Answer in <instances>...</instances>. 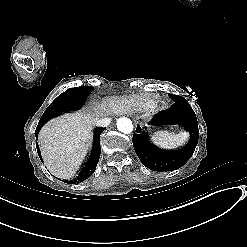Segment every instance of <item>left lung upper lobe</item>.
Masks as SVG:
<instances>
[{
	"label": "left lung upper lobe",
	"mask_w": 247,
	"mask_h": 247,
	"mask_svg": "<svg viewBox=\"0 0 247 247\" xmlns=\"http://www.w3.org/2000/svg\"><path fill=\"white\" fill-rule=\"evenodd\" d=\"M177 104H189L183 97L169 94Z\"/></svg>",
	"instance_id": "5c2ea615"
}]
</instances>
